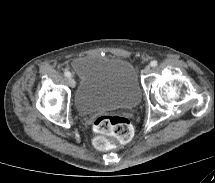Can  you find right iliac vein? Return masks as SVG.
Wrapping results in <instances>:
<instances>
[{"label": "right iliac vein", "instance_id": "1", "mask_svg": "<svg viewBox=\"0 0 215 183\" xmlns=\"http://www.w3.org/2000/svg\"><path fill=\"white\" fill-rule=\"evenodd\" d=\"M68 82H69V85H70L72 88L75 87L76 82H75L74 78L70 77Z\"/></svg>", "mask_w": 215, "mask_h": 183}]
</instances>
